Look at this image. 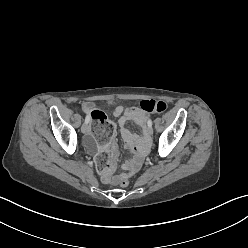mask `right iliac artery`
I'll return each mask as SVG.
<instances>
[{"instance_id":"obj_1","label":"right iliac artery","mask_w":248,"mask_h":248,"mask_svg":"<svg viewBox=\"0 0 248 248\" xmlns=\"http://www.w3.org/2000/svg\"><path fill=\"white\" fill-rule=\"evenodd\" d=\"M89 121H90V117L87 115L85 118V123H89Z\"/></svg>"}]
</instances>
